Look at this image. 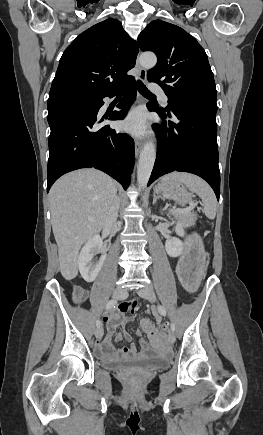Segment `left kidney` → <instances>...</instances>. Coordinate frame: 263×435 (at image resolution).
<instances>
[{
    "label": "left kidney",
    "instance_id": "1",
    "mask_svg": "<svg viewBox=\"0 0 263 435\" xmlns=\"http://www.w3.org/2000/svg\"><path fill=\"white\" fill-rule=\"evenodd\" d=\"M185 224L183 222H178L175 227V231L178 236H184ZM184 249L183 242L177 238H168L165 242V250L170 257H178L182 254Z\"/></svg>",
    "mask_w": 263,
    "mask_h": 435
}]
</instances>
